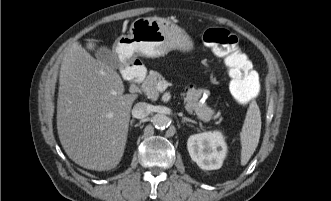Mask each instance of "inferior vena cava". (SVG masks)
<instances>
[{
	"label": "inferior vena cava",
	"instance_id": "inferior-vena-cava-1",
	"mask_svg": "<svg viewBox=\"0 0 331 201\" xmlns=\"http://www.w3.org/2000/svg\"><path fill=\"white\" fill-rule=\"evenodd\" d=\"M150 105L146 102H138L132 109V116L137 119L145 118L150 114Z\"/></svg>",
	"mask_w": 331,
	"mask_h": 201
}]
</instances>
